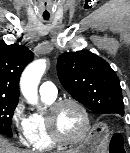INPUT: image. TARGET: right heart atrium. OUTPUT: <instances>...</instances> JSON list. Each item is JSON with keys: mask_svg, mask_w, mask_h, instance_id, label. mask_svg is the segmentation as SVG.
I'll return each mask as SVG.
<instances>
[{"mask_svg": "<svg viewBox=\"0 0 130 153\" xmlns=\"http://www.w3.org/2000/svg\"><path fill=\"white\" fill-rule=\"evenodd\" d=\"M28 85V82H25ZM11 125L16 133L18 142L24 145L30 144L29 117L25 113V106L22 101L18 102L11 114Z\"/></svg>", "mask_w": 130, "mask_h": 153, "instance_id": "right-heart-atrium-1", "label": "right heart atrium"}]
</instances>
